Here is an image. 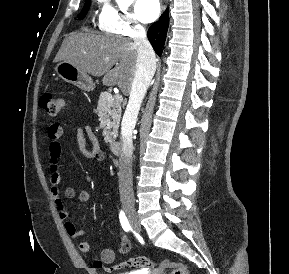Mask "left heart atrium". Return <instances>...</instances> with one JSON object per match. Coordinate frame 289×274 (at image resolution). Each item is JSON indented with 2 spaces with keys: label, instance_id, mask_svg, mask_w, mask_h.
<instances>
[{
  "label": "left heart atrium",
  "instance_id": "1",
  "mask_svg": "<svg viewBox=\"0 0 289 274\" xmlns=\"http://www.w3.org/2000/svg\"><path fill=\"white\" fill-rule=\"evenodd\" d=\"M136 15L144 23L157 19L160 14L159 0H137L135 4Z\"/></svg>",
  "mask_w": 289,
  "mask_h": 274
}]
</instances>
